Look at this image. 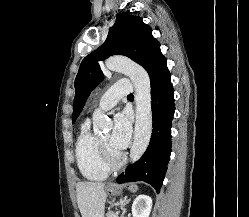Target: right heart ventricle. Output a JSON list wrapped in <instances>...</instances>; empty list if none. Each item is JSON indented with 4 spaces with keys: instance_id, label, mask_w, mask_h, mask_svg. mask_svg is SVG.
<instances>
[{
    "instance_id": "right-heart-ventricle-1",
    "label": "right heart ventricle",
    "mask_w": 249,
    "mask_h": 217,
    "mask_svg": "<svg viewBox=\"0 0 249 217\" xmlns=\"http://www.w3.org/2000/svg\"><path fill=\"white\" fill-rule=\"evenodd\" d=\"M75 156L81 174L91 181L107 178L109 168L103 160L99 138L91 132L90 121L82 122L75 144Z\"/></svg>"
}]
</instances>
